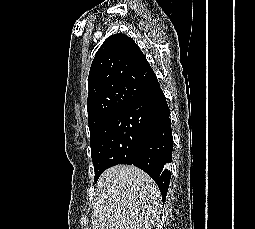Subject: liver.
<instances>
[{
    "instance_id": "1",
    "label": "liver",
    "mask_w": 255,
    "mask_h": 229,
    "mask_svg": "<svg viewBox=\"0 0 255 229\" xmlns=\"http://www.w3.org/2000/svg\"><path fill=\"white\" fill-rule=\"evenodd\" d=\"M93 229H151L158 217L160 191L141 169L117 165L107 169L96 184Z\"/></svg>"
}]
</instances>
